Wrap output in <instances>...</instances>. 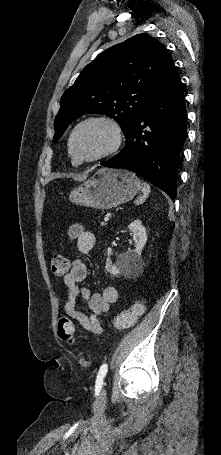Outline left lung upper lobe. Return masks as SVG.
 Masks as SVG:
<instances>
[{
	"label": "left lung upper lobe",
	"instance_id": "obj_1",
	"mask_svg": "<svg viewBox=\"0 0 221 455\" xmlns=\"http://www.w3.org/2000/svg\"><path fill=\"white\" fill-rule=\"evenodd\" d=\"M173 68L171 55L148 34H137L105 50L62 95L53 141L87 113L114 118L127 137L139 112Z\"/></svg>",
	"mask_w": 221,
	"mask_h": 455
}]
</instances>
